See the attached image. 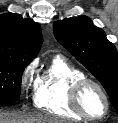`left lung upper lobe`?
<instances>
[{
	"label": "left lung upper lobe",
	"mask_w": 118,
	"mask_h": 123,
	"mask_svg": "<svg viewBox=\"0 0 118 123\" xmlns=\"http://www.w3.org/2000/svg\"><path fill=\"white\" fill-rule=\"evenodd\" d=\"M53 30L57 41L101 82L118 114V54L104 31L86 16L56 21Z\"/></svg>",
	"instance_id": "left-lung-upper-lobe-1"
}]
</instances>
